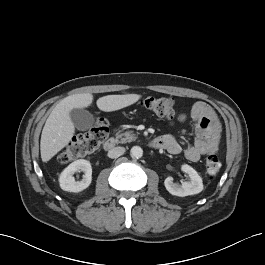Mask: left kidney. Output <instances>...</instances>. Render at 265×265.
<instances>
[{"mask_svg":"<svg viewBox=\"0 0 265 265\" xmlns=\"http://www.w3.org/2000/svg\"><path fill=\"white\" fill-rule=\"evenodd\" d=\"M182 171L190 177V182H183L178 185L173 182L172 177H167L164 181L166 190L175 196L185 197L198 194L203 190V181L199 174L191 166L185 164L181 167Z\"/></svg>","mask_w":265,"mask_h":265,"instance_id":"left-kidney-1","label":"left kidney"}]
</instances>
